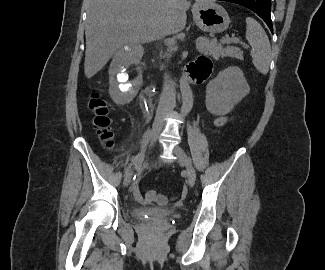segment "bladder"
I'll use <instances>...</instances> for the list:
<instances>
[{"mask_svg": "<svg viewBox=\"0 0 325 270\" xmlns=\"http://www.w3.org/2000/svg\"><path fill=\"white\" fill-rule=\"evenodd\" d=\"M136 213L138 216H153L160 219H174L177 217L176 212L160 208L139 209L136 211Z\"/></svg>", "mask_w": 325, "mask_h": 270, "instance_id": "bladder-1", "label": "bladder"}]
</instances>
